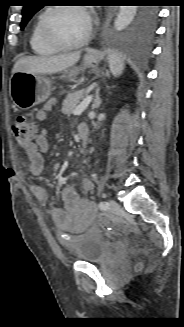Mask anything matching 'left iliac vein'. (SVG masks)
Listing matches in <instances>:
<instances>
[{
    "label": "left iliac vein",
    "mask_w": 184,
    "mask_h": 327,
    "mask_svg": "<svg viewBox=\"0 0 184 327\" xmlns=\"http://www.w3.org/2000/svg\"><path fill=\"white\" fill-rule=\"evenodd\" d=\"M110 209L115 213H118L121 210L120 205L114 200L110 201Z\"/></svg>",
    "instance_id": "4c4485c4"
}]
</instances>
